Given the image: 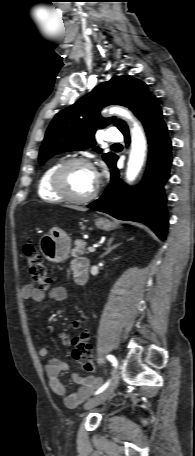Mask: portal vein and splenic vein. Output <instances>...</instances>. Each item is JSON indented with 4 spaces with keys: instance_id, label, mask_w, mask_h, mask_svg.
<instances>
[{
    "instance_id": "1",
    "label": "portal vein and splenic vein",
    "mask_w": 195,
    "mask_h": 456,
    "mask_svg": "<svg viewBox=\"0 0 195 456\" xmlns=\"http://www.w3.org/2000/svg\"><path fill=\"white\" fill-rule=\"evenodd\" d=\"M88 251L93 253L96 251V249L94 247H88Z\"/></svg>"
}]
</instances>
